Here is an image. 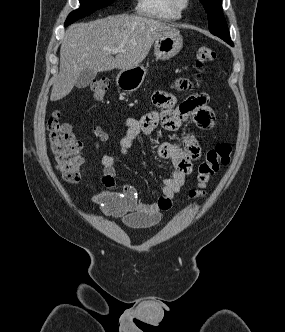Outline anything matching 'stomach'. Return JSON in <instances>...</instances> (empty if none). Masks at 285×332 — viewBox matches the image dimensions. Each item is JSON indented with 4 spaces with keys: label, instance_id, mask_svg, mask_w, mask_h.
<instances>
[{
    "label": "stomach",
    "instance_id": "stomach-1",
    "mask_svg": "<svg viewBox=\"0 0 285 332\" xmlns=\"http://www.w3.org/2000/svg\"><path fill=\"white\" fill-rule=\"evenodd\" d=\"M183 39L179 31L171 29L166 34L158 37L154 44V55L157 60H168L174 57L182 48ZM146 69L138 65L128 70H122L116 77V84L124 91H136L143 83Z\"/></svg>",
    "mask_w": 285,
    "mask_h": 332
}]
</instances>
